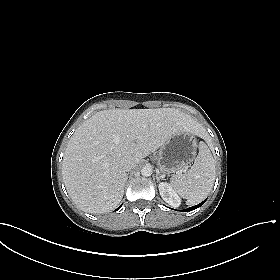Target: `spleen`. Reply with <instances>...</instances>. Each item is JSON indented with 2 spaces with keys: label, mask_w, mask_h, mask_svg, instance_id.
<instances>
[{
  "label": "spleen",
  "mask_w": 280,
  "mask_h": 280,
  "mask_svg": "<svg viewBox=\"0 0 280 280\" xmlns=\"http://www.w3.org/2000/svg\"><path fill=\"white\" fill-rule=\"evenodd\" d=\"M199 153L191 168L184 174L171 177V184L188 205L200 203L211 191L216 177V164L208 145L199 144Z\"/></svg>",
  "instance_id": "spleen-1"
}]
</instances>
